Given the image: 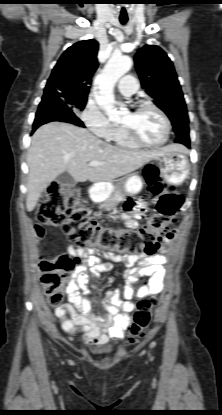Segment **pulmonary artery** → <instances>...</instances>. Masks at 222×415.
<instances>
[{"mask_svg": "<svg viewBox=\"0 0 222 415\" xmlns=\"http://www.w3.org/2000/svg\"><path fill=\"white\" fill-rule=\"evenodd\" d=\"M118 89L122 94L131 96L137 91L138 84L133 76L126 75L119 80Z\"/></svg>", "mask_w": 222, "mask_h": 415, "instance_id": "1", "label": "pulmonary artery"}]
</instances>
